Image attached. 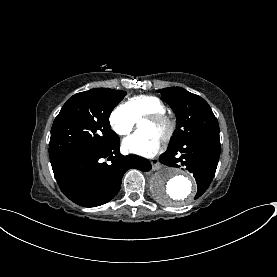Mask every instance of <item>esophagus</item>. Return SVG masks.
<instances>
[{"mask_svg": "<svg viewBox=\"0 0 277 277\" xmlns=\"http://www.w3.org/2000/svg\"><path fill=\"white\" fill-rule=\"evenodd\" d=\"M152 165V170L156 171L162 168V164L159 162L158 158H153L150 160Z\"/></svg>", "mask_w": 277, "mask_h": 277, "instance_id": "34e87169", "label": "esophagus"}]
</instances>
